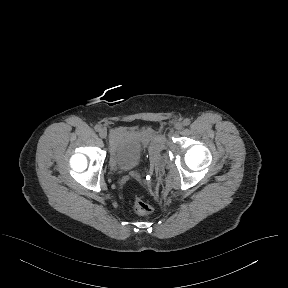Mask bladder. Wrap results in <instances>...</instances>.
I'll use <instances>...</instances> for the list:
<instances>
[{"label": "bladder", "mask_w": 288, "mask_h": 288, "mask_svg": "<svg viewBox=\"0 0 288 288\" xmlns=\"http://www.w3.org/2000/svg\"><path fill=\"white\" fill-rule=\"evenodd\" d=\"M159 153L150 131L118 127L110 131L109 163L118 171L127 172L139 166L143 158Z\"/></svg>", "instance_id": "bladder-1"}]
</instances>
